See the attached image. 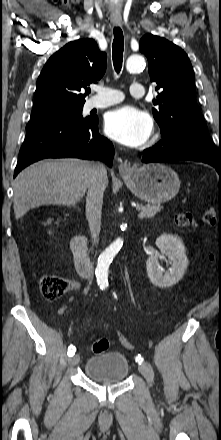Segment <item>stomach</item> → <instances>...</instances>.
<instances>
[{
	"label": "stomach",
	"mask_w": 221,
	"mask_h": 440,
	"mask_svg": "<svg viewBox=\"0 0 221 440\" xmlns=\"http://www.w3.org/2000/svg\"><path fill=\"white\" fill-rule=\"evenodd\" d=\"M122 178L135 196L152 204L171 200L180 188L177 173L160 163L133 166L122 173Z\"/></svg>",
	"instance_id": "stomach-1"
}]
</instances>
